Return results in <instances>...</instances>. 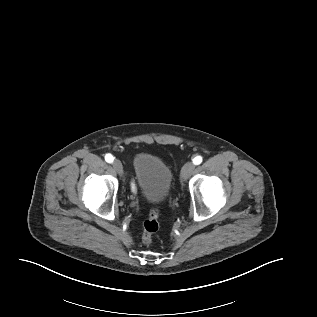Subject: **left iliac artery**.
<instances>
[{"mask_svg": "<svg viewBox=\"0 0 317 317\" xmlns=\"http://www.w3.org/2000/svg\"><path fill=\"white\" fill-rule=\"evenodd\" d=\"M201 162H202V157H201V156H196V157L193 159V163H194L195 165H199Z\"/></svg>", "mask_w": 317, "mask_h": 317, "instance_id": "left-iliac-artery-1", "label": "left iliac artery"}]
</instances>
